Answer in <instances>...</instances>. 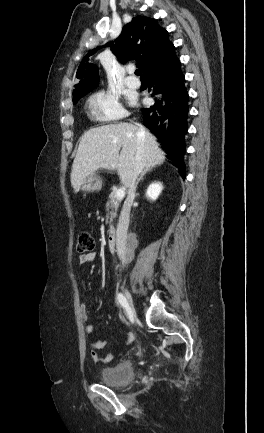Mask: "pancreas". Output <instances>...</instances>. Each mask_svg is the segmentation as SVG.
Instances as JSON below:
<instances>
[{"label":"pancreas","mask_w":264,"mask_h":433,"mask_svg":"<svg viewBox=\"0 0 264 433\" xmlns=\"http://www.w3.org/2000/svg\"><path fill=\"white\" fill-rule=\"evenodd\" d=\"M121 199L116 197V191L113 190L109 195V201L106 203L107 215H110V223L117 216V210L120 206Z\"/></svg>","instance_id":"1"}]
</instances>
